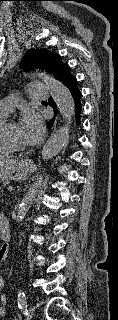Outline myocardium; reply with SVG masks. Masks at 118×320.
I'll return each mask as SVG.
<instances>
[{
  "label": "myocardium",
  "mask_w": 118,
  "mask_h": 320,
  "mask_svg": "<svg viewBox=\"0 0 118 320\" xmlns=\"http://www.w3.org/2000/svg\"><path fill=\"white\" fill-rule=\"evenodd\" d=\"M12 122L4 121L3 124L0 126V141L10 150L12 151H25V146H20L13 143L7 136H6V126Z\"/></svg>",
  "instance_id": "f54148a6"
}]
</instances>
